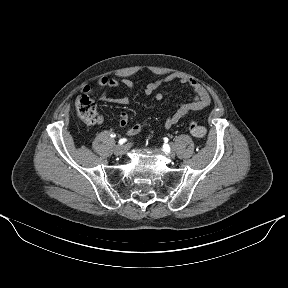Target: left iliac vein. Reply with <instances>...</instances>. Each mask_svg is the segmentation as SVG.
<instances>
[{"mask_svg": "<svg viewBox=\"0 0 288 288\" xmlns=\"http://www.w3.org/2000/svg\"><path fill=\"white\" fill-rule=\"evenodd\" d=\"M170 157H174V153L173 152H170Z\"/></svg>", "mask_w": 288, "mask_h": 288, "instance_id": "left-iliac-vein-1", "label": "left iliac vein"}]
</instances>
